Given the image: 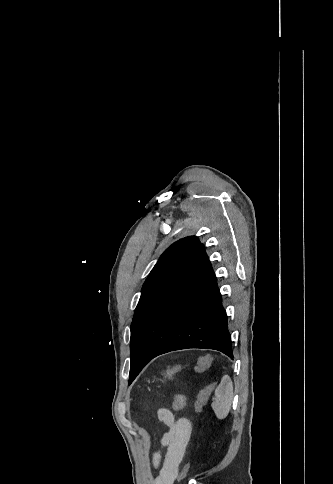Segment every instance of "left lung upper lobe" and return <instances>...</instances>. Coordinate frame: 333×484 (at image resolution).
Instances as JSON below:
<instances>
[{
    "instance_id": "5c2ea615",
    "label": "left lung upper lobe",
    "mask_w": 333,
    "mask_h": 484,
    "mask_svg": "<svg viewBox=\"0 0 333 484\" xmlns=\"http://www.w3.org/2000/svg\"><path fill=\"white\" fill-rule=\"evenodd\" d=\"M203 248V245L197 237L189 236L173 243L160 256L142 287V294L135 310L131 324V355L142 329L157 302L175 280L182 268L192 260L193 255ZM142 368L143 366L141 364L137 367L131 366L129 382L135 379Z\"/></svg>"
}]
</instances>
